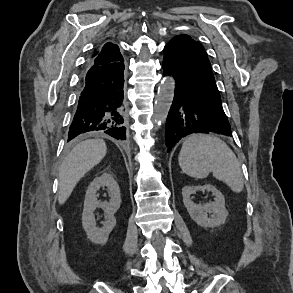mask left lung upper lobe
<instances>
[{
  "label": "left lung upper lobe",
  "mask_w": 293,
  "mask_h": 293,
  "mask_svg": "<svg viewBox=\"0 0 293 293\" xmlns=\"http://www.w3.org/2000/svg\"><path fill=\"white\" fill-rule=\"evenodd\" d=\"M169 43H173L176 46L188 70L193 75L206 86L219 92L205 49L199 42L183 34L174 37Z\"/></svg>",
  "instance_id": "left-lung-upper-lobe-1"
}]
</instances>
